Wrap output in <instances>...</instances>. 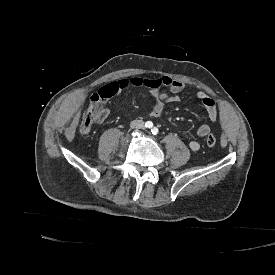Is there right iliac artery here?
<instances>
[{
  "label": "right iliac artery",
  "mask_w": 275,
  "mask_h": 275,
  "mask_svg": "<svg viewBox=\"0 0 275 275\" xmlns=\"http://www.w3.org/2000/svg\"><path fill=\"white\" fill-rule=\"evenodd\" d=\"M145 127H147V128H152V127H153V123H152L151 121H147V122L145 123Z\"/></svg>",
  "instance_id": "82829eb1"
}]
</instances>
